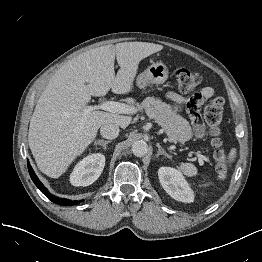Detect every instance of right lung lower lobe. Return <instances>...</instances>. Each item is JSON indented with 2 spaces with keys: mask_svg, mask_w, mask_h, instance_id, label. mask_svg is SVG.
I'll return each instance as SVG.
<instances>
[{
  "mask_svg": "<svg viewBox=\"0 0 262 262\" xmlns=\"http://www.w3.org/2000/svg\"><path fill=\"white\" fill-rule=\"evenodd\" d=\"M28 165V170H29V174L33 180V182L35 183V185L40 189V191L47 196L51 201H53L56 204H60V205H75L80 201H72V200H67V199H60L52 194H50L48 192V190L44 187V185L39 181V179L37 178V176L35 175L32 167L30 166L29 161L27 162Z\"/></svg>",
  "mask_w": 262,
  "mask_h": 262,
  "instance_id": "98d812e1",
  "label": "right lung lower lobe"
}]
</instances>
